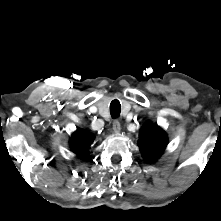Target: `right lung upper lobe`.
<instances>
[{"label":"right lung upper lobe","mask_w":221,"mask_h":221,"mask_svg":"<svg viewBox=\"0 0 221 221\" xmlns=\"http://www.w3.org/2000/svg\"><path fill=\"white\" fill-rule=\"evenodd\" d=\"M94 141V137L82 129H77L72 135L70 145L72 150L80 157L87 158L89 145Z\"/></svg>","instance_id":"1"}]
</instances>
